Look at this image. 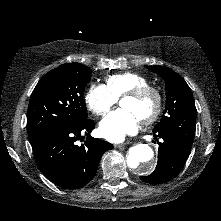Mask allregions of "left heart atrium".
I'll return each mask as SVG.
<instances>
[{
    "label": "left heart atrium",
    "mask_w": 221,
    "mask_h": 221,
    "mask_svg": "<svg viewBox=\"0 0 221 221\" xmlns=\"http://www.w3.org/2000/svg\"><path fill=\"white\" fill-rule=\"evenodd\" d=\"M139 118L131 111L120 108L99 123L100 135L111 142H122L128 135L134 134L139 127Z\"/></svg>",
    "instance_id": "1"
}]
</instances>
